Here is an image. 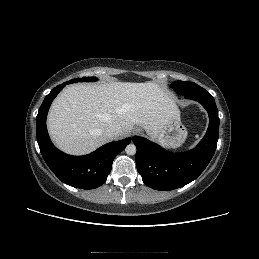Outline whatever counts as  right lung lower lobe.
<instances>
[{
  "label": "right lung lower lobe",
  "instance_id": "obj_1",
  "mask_svg": "<svg viewBox=\"0 0 259 259\" xmlns=\"http://www.w3.org/2000/svg\"><path fill=\"white\" fill-rule=\"evenodd\" d=\"M68 84L65 82L53 88L40 106L36 117L37 142L45 162L62 182L75 188L94 189L105 183L114 158L131 138L110 142L85 156H70L59 151L49 138L46 116L53 99Z\"/></svg>",
  "mask_w": 259,
  "mask_h": 259
}]
</instances>
